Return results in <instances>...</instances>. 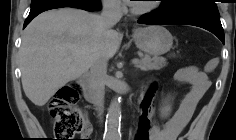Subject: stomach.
<instances>
[{
    "label": "stomach",
    "instance_id": "1",
    "mask_svg": "<svg viewBox=\"0 0 236 140\" xmlns=\"http://www.w3.org/2000/svg\"><path fill=\"white\" fill-rule=\"evenodd\" d=\"M133 38L140 50L154 56L167 53L173 44L170 32L159 25L138 28L134 31Z\"/></svg>",
    "mask_w": 236,
    "mask_h": 140
}]
</instances>
